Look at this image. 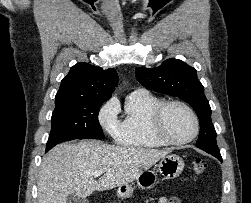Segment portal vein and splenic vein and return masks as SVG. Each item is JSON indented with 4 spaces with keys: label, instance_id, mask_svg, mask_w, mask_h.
Instances as JSON below:
<instances>
[{
    "label": "portal vein and splenic vein",
    "instance_id": "portal-vein-and-splenic-vein-1",
    "mask_svg": "<svg viewBox=\"0 0 251 203\" xmlns=\"http://www.w3.org/2000/svg\"><path fill=\"white\" fill-rule=\"evenodd\" d=\"M102 174H103V171L99 170V171L93 172L91 175L94 177H98V176H101Z\"/></svg>",
    "mask_w": 251,
    "mask_h": 203
}]
</instances>
